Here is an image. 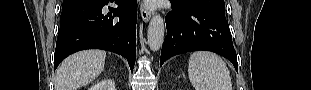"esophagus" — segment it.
I'll use <instances>...</instances> for the list:
<instances>
[{"instance_id": "obj_1", "label": "esophagus", "mask_w": 311, "mask_h": 90, "mask_svg": "<svg viewBox=\"0 0 311 90\" xmlns=\"http://www.w3.org/2000/svg\"><path fill=\"white\" fill-rule=\"evenodd\" d=\"M140 14L144 22H147L152 16L151 10H149L145 5V0L141 2Z\"/></svg>"}]
</instances>
